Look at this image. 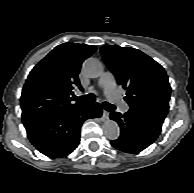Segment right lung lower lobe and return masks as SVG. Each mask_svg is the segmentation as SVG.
Instances as JSON below:
<instances>
[{"label": "right lung lower lobe", "mask_w": 194, "mask_h": 193, "mask_svg": "<svg viewBox=\"0 0 194 193\" xmlns=\"http://www.w3.org/2000/svg\"><path fill=\"white\" fill-rule=\"evenodd\" d=\"M99 103L79 105L58 115L24 123L30 142L48 157H63L76 149L80 142V128L89 118H99Z\"/></svg>", "instance_id": "right-lung-lower-lobe-1"}]
</instances>
